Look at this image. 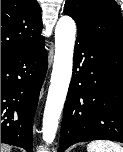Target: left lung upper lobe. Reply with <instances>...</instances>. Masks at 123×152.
<instances>
[{
	"instance_id": "obj_1",
	"label": "left lung upper lobe",
	"mask_w": 123,
	"mask_h": 152,
	"mask_svg": "<svg viewBox=\"0 0 123 152\" xmlns=\"http://www.w3.org/2000/svg\"><path fill=\"white\" fill-rule=\"evenodd\" d=\"M64 13L77 28L123 50V19L115 0H66Z\"/></svg>"
}]
</instances>
